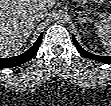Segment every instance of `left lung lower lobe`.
Segmentation results:
<instances>
[{"label":"left lung lower lobe","instance_id":"left-lung-lower-lobe-1","mask_svg":"<svg viewBox=\"0 0 111 106\" xmlns=\"http://www.w3.org/2000/svg\"><path fill=\"white\" fill-rule=\"evenodd\" d=\"M73 40H74V44L77 48V50L85 57L87 58H90V59H93V60H96V61H99V62H102V63H106V64H109L111 63V56H99V55H94V54H91L87 51H85L80 45L79 43L76 41L75 37H73Z\"/></svg>","mask_w":111,"mask_h":106}]
</instances>
